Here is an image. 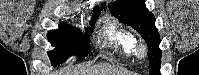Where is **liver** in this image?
<instances>
[{
	"label": "liver",
	"instance_id": "liver-1",
	"mask_svg": "<svg viewBox=\"0 0 199 75\" xmlns=\"http://www.w3.org/2000/svg\"><path fill=\"white\" fill-rule=\"evenodd\" d=\"M59 75H132L131 72L121 70L108 64H98L92 68H78L74 71H67Z\"/></svg>",
	"mask_w": 199,
	"mask_h": 75
}]
</instances>
